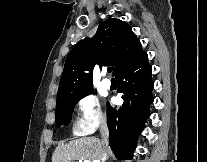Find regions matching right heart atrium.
I'll return each instance as SVG.
<instances>
[{
  "label": "right heart atrium",
  "instance_id": "obj_1",
  "mask_svg": "<svg viewBox=\"0 0 207 162\" xmlns=\"http://www.w3.org/2000/svg\"><path fill=\"white\" fill-rule=\"evenodd\" d=\"M77 111L76 132L79 135L90 134L105 121L100 102L91 93L85 94L78 100Z\"/></svg>",
  "mask_w": 207,
  "mask_h": 162
}]
</instances>
